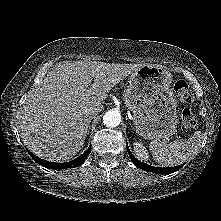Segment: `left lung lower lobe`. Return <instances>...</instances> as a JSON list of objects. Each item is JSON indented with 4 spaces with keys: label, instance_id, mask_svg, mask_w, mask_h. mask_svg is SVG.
Listing matches in <instances>:
<instances>
[{
    "label": "left lung lower lobe",
    "instance_id": "1",
    "mask_svg": "<svg viewBox=\"0 0 221 221\" xmlns=\"http://www.w3.org/2000/svg\"><path fill=\"white\" fill-rule=\"evenodd\" d=\"M126 148H127L129 156H130L132 162L134 163V165L136 167H139V168L145 170V171L154 172V173H157V174H171L173 172H176L177 170H179L183 166V164H182V165H178V166H175V167H167V168L153 167V166H150V165L145 164L143 162H140L138 159H136L132 155V153L130 152L127 145H126Z\"/></svg>",
    "mask_w": 221,
    "mask_h": 221
}]
</instances>
